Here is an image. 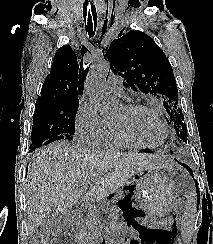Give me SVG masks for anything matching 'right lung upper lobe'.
<instances>
[{
  "label": "right lung upper lobe",
  "instance_id": "right-lung-upper-lobe-1",
  "mask_svg": "<svg viewBox=\"0 0 213 244\" xmlns=\"http://www.w3.org/2000/svg\"><path fill=\"white\" fill-rule=\"evenodd\" d=\"M84 72L82 65L69 45L59 48L55 54L51 72L46 77L41 96L37 100H77L82 95Z\"/></svg>",
  "mask_w": 213,
  "mask_h": 244
}]
</instances>
